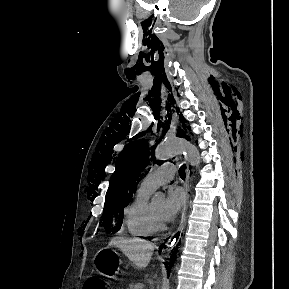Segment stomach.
Listing matches in <instances>:
<instances>
[{"mask_svg":"<svg viewBox=\"0 0 289 289\" xmlns=\"http://www.w3.org/2000/svg\"><path fill=\"white\" fill-rule=\"evenodd\" d=\"M118 258L119 254L114 249H100L94 258L96 271L106 277H115L120 271Z\"/></svg>","mask_w":289,"mask_h":289,"instance_id":"1","label":"stomach"}]
</instances>
